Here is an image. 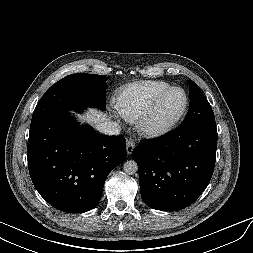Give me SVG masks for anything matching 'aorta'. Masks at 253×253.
Segmentation results:
<instances>
[{
  "label": "aorta",
  "mask_w": 253,
  "mask_h": 253,
  "mask_svg": "<svg viewBox=\"0 0 253 253\" xmlns=\"http://www.w3.org/2000/svg\"><path fill=\"white\" fill-rule=\"evenodd\" d=\"M123 170L128 175H133L138 170V165L134 160L126 161L123 165Z\"/></svg>",
  "instance_id": "762f6f07"
}]
</instances>
